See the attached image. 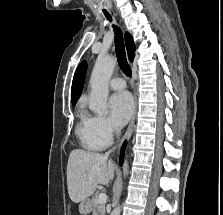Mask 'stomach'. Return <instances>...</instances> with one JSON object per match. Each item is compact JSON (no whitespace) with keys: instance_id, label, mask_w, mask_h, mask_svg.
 Returning a JSON list of instances; mask_svg holds the SVG:
<instances>
[{"instance_id":"stomach-1","label":"stomach","mask_w":223,"mask_h":215,"mask_svg":"<svg viewBox=\"0 0 223 215\" xmlns=\"http://www.w3.org/2000/svg\"><path fill=\"white\" fill-rule=\"evenodd\" d=\"M89 199H84L83 201H81L80 205H79V211L80 213H90V206L91 203L89 202Z\"/></svg>"}]
</instances>
